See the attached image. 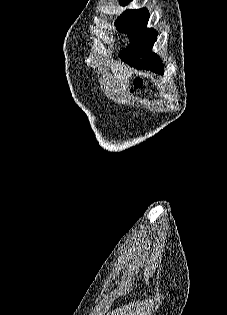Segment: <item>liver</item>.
Listing matches in <instances>:
<instances>
[{
    "label": "liver",
    "instance_id": "1",
    "mask_svg": "<svg viewBox=\"0 0 227 315\" xmlns=\"http://www.w3.org/2000/svg\"><path fill=\"white\" fill-rule=\"evenodd\" d=\"M112 72L114 74L115 83L121 85L122 89L126 91L129 84V77L132 72L127 70L126 65L120 63L114 64Z\"/></svg>",
    "mask_w": 227,
    "mask_h": 315
}]
</instances>
